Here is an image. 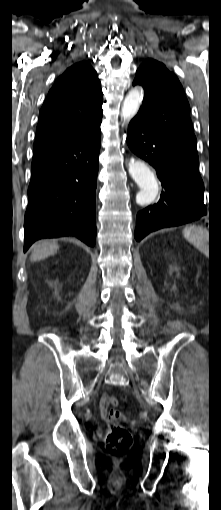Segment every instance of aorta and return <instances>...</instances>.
<instances>
[{
  "instance_id": "762f6f07",
  "label": "aorta",
  "mask_w": 221,
  "mask_h": 510,
  "mask_svg": "<svg viewBox=\"0 0 221 510\" xmlns=\"http://www.w3.org/2000/svg\"><path fill=\"white\" fill-rule=\"evenodd\" d=\"M142 99L143 94L137 88L128 93L121 109V116L124 120H130L137 114ZM129 173L140 188L136 195L137 204L141 206L151 204L158 194V183L154 173L142 161L130 162Z\"/></svg>"
}]
</instances>
